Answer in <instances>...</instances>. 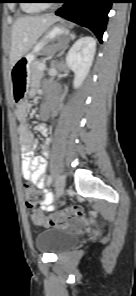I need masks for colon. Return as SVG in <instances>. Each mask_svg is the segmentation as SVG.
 Here are the masks:
<instances>
[{
  "mask_svg": "<svg viewBox=\"0 0 136 296\" xmlns=\"http://www.w3.org/2000/svg\"><path fill=\"white\" fill-rule=\"evenodd\" d=\"M25 198L32 220L37 225L58 226L65 224L73 218L84 216L82 210L78 206H65L57 210L54 214H43L38 207L42 200V194L29 184L25 185Z\"/></svg>",
  "mask_w": 136,
  "mask_h": 296,
  "instance_id": "5ec220e1",
  "label": "colon"
}]
</instances>
